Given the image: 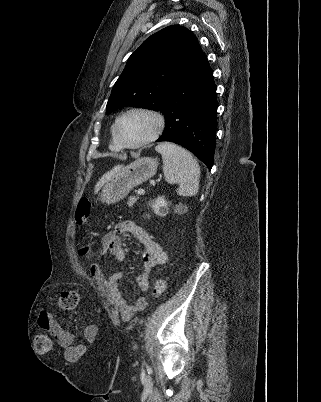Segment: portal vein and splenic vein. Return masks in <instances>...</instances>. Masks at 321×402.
<instances>
[{"label":"portal vein and splenic vein","instance_id":"portal-vein-and-splenic-vein-1","mask_svg":"<svg viewBox=\"0 0 321 402\" xmlns=\"http://www.w3.org/2000/svg\"><path fill=\"white\" fill-rule=\"evenodd\" d=\"M145 193V190L144 189H139L138 191H137V195L138 196H141V195H143Z\"/></svg>","mask_w":321,"mask_h":402}]
</instances>
